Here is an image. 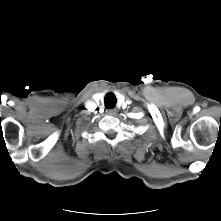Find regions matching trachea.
Segmentation results:
<instances>
[{"label":"trachea","mask_w":221,"mask_h":221,"mask_svg":"<svg viewBox=\"0 0 221 221\" xmlns=\"http://www.w3.org/2000/svg\"><path fill=\"white\" fill-rule=\"evenodd\" d=\"M105 107L108 109H112L116 106V96L114 93H107L104 98Z\"/></svg>","instance_id":"obj_1"}]
</instances>
